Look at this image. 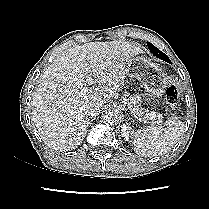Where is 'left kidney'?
Returning <instances> with one entry per match:
<instances>
[{
    "mask_svg": "<svg viewBox=\"0 0 209 209\" xmlns=\"http://www.w3.org/2000/svg\"><path fill=\"white\" fill-rule=\"evenodd\" d=\"M131 134H132V131H131V127L129 126V124H123L121 126V135L122 137L126 140V141H129L130 138H131Z\"/></svg>",
    "mask_w": 209,
    "mask_h": 209,
    "instance_id": "5707ae66",
    "label": "left kidney"
}]
</instances>
